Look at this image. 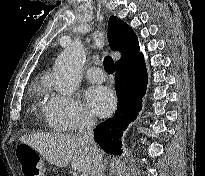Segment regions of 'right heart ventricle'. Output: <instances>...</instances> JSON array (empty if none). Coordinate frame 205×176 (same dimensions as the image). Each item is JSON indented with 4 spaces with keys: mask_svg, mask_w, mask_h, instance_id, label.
I'll return each mask as SVG.
<instances>
[{
    "mask_svg": "<svg viewBox=\"0 0 205 176\" xmlns=\"http://www.w3.org/2000/svg\"><path fill=\"white\" fill-rule=\"evenodd\" d=\"M42 112L46 115L45 107L42 108Z\"/></svg>",
    "mask_w": 205,
    "mask_h": 176,
    "instance_id": "e07e8e85",
    "label": "right heart ventricle"
}]
</instances>
